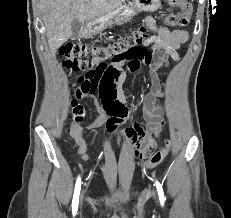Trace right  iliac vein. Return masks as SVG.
Instances as JSON below:
<instances>
[{"label":"right iliac vein","mask_w":231,"mask_h":218,"mask_svg":"<svg viewBox=\"0 0 231 218\" xmlns=\"http://www.w3.org/2000/svg\"><path fill=\"white\" fill-rule=\"evenodd\" d=\"M82 200H83V193L81 194L80 204H82Z\"/></svg>","instance_id":"obj_1"}]
</instances>
